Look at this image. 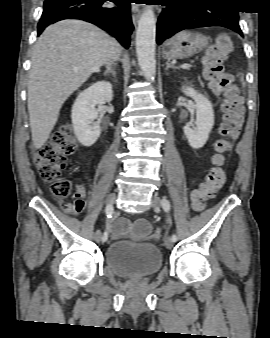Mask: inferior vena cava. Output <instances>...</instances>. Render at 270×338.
<instances>
[{
  "instance_id": "obj_1",
  "label": "inferior vena cava",
  "mask_w": 270,
  "mask_h": 338,
  "mask_svg": "<svg viewBox=\"0 0 270 338\" xmlns=\"http://www.w3.org/2000/svg\"><path fill=\"white\" fill-rule=\"evenodd\" d=\"M118 57H119V54L113 55V56L111 57V60H116V59H118Z\"/></svg>"
}]
</instances>
